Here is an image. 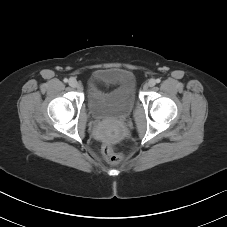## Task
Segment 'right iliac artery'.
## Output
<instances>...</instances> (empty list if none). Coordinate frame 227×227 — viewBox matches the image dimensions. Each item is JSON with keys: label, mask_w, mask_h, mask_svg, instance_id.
<instances>
[{"label": "right iliac artery", "mask_w": 227, "mask_h": 227, "mask_svg": "<svg viewBox=\"0 0 227 227\" xmlns=\"http://www.w3.org/2000/svg\"><path fill=\"white\" fill-rule=\"evenodd\" d=\"M63 81H64L65 83H67V82H68V79H67V78H65Z\"/></svg>", "instance_id": "obj_1"}]
</instances>
